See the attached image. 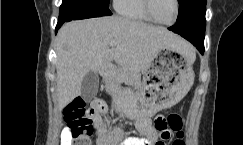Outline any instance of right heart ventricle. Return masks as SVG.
Instances as JSON below:
<instances>
[{"label":"right heart ventricle","mask_w":243,"mask_h":145,"mask_svg":"<svg viewBox=\"0 0 243 145\" xmlns=\"http://www.w3.org/2000/svg\"><path fill=\"white\" fill-rule=\"evenodd\" d=\"M115 9L117 13L129 20L151 23L144 9L143 0H115Z\"/></svg>","instance_id":"right-heart-ventricle-1"}]
</instances>
